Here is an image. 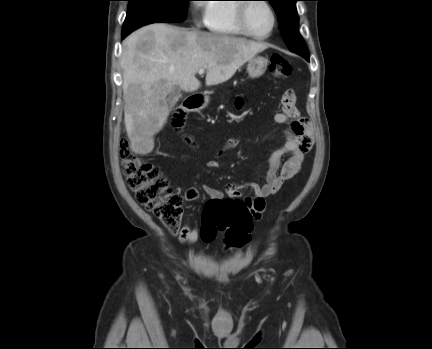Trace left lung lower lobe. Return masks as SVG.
Listing matches in <instances>:
<instances>
[{
    "label": "left lung lower lobe",
    "instance_id": "left-lung-lower-lobe-1",
    "mask_svg": "<svg viewBox=\"0 0 432 349\" xmlns=\"http://www.w3.org/2000/svg\"><path fill=\"white\" fill-rule=\"evenodd\" d=\"M299 55H301L302 57H304L307 61H309V54L307 55V54H299Z\"/></svg>",
    "mask_w": 432,
    "mask_h": 349
}]
</instances>
